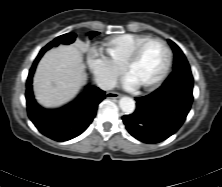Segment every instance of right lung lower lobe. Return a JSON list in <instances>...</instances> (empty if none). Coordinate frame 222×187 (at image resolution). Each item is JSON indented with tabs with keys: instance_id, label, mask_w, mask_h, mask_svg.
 Returning <instances> with one entry per match:
<instances>
[{
	"instance_id": "98d812e1",
	"label": "right lung lower lobe",
	"mask_w": 222,
	"mask_h": 187,
	"mask_svg": "<svg viewBox=\"0 0 222 187\" xmlns=\"http://www.w3.org/2000/svg\"><path fill=\"white\" fill-rule=\"evenodd\" d=\"M49 50L44 47L35 59L26 82V101L30 120L45 136L55 141H67L84 132L93 121L98 104L105 98V92L87 85L82 95L58 109H44L33 96L32 77L42 55Z\"/></svg>"
}]
</instances>
